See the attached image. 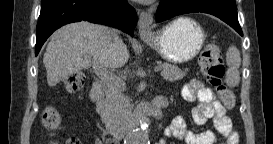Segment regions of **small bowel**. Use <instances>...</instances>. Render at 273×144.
Here are the masks:
<instances>
[{"mask_svg":"<svg viewBox=\"0 0 273 144\" xmlns=\"http://www.w3.org/2000/svg\"><path fill=\"white\" fill-rule=\"evenodd\" d=\"M182 96L186 101L197 102L192 111L193 122L204 126L212 121L215 130L192 132L186 127L183 115H176L165 129V136L172 137L185 144H215L223 138L228 144L238 143V134L232 127L225 106L216 98L214 91L201 80L192 79L183 89ZM161 139L159 144H165Z\"/></svg>","mask_w":273,"mask_h":144,"instance_id":"small-bowel-1","label":"small bowel"}]
</instances>
